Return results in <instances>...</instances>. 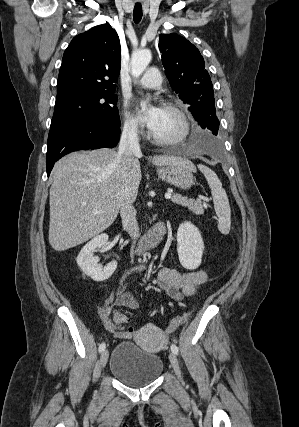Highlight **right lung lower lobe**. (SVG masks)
I'll return each instance as SVG.
<instances>
[{
  "label": "right lung lower lobe",
  "mask_w": 299,
  "mask_h": 427,
  "mask_svg": "<svg viewBox=\"0 0 299 427\" xmlns=\"http://www.w3.org/2000/svg\"><path fill=\"white\" fill-rule=\"evenodd\" d=\"M120 137V126L95 120L76 119L50 128L47 144V175L54 163L76 150L113 148Z\"/></svg>",
  "instance_id": "obj_1"
}]
</instances>
